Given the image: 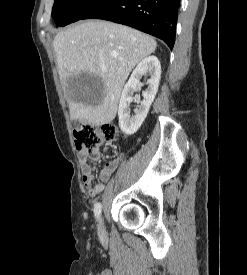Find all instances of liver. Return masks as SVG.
Instances as JSON below:
<instances>
[{"mask_svg":"<svg viewBox=\"0 0 247 275\" xmlns=\"http://www.w3.org/2000/svg\"><path fill=\"white\" fill-rule=\"evenodd\" d=\"M70 117L89 125L112 122L122 88L132 69L156 47V41L125 25L89 20L59 32L53 41ZM104 66L106 71H102ZM100 78L99 95L81 96L68 87V79L80 72Z\"/></svg>","mask_w":247,"mask_h":275,"instance_id":"obj_1","label":"liver"}]
</instances>
